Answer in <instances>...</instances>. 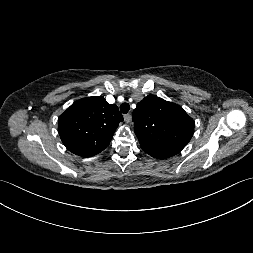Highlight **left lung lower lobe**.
<instances>
[{
	"mask_svg": "<svg viewBox=\"0 0 253 253\" xmlns=\"http://www.w3.org/2000/svg\"><path fill=\"white\" fill-rule=\"evenodd\" d=\"M149 155H151V156L154 157V158H158V159L168 158V157H165V156H163V155H158V154H149Z\"/></svg>",
	"mask_w": 253,
	"mask_h": 253,
	"instance_id": "obj_1",
	"label": "left lung lower lobe"
}]
</instances>
